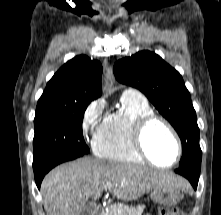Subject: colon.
<instances>
[{"label": "colon", "mask_w": 221, "mask_h": 215, "mask_svg": "<svg viewBox=\"0 0 221 215\" xmlns=\"http://www.w3.org/2000/svg\"><path fill=\"white\" fill-rule=\"evenodd\" d=\"M158 215H184V213L178 207H171L159 210Z\"/></svg>", "instance_id": "1"}]
</instances>
